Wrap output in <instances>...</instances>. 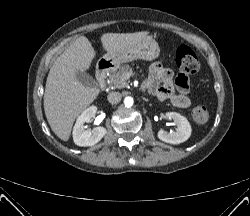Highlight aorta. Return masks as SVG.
I'll list each match as a JSON object with an SVG mask.
<instances>
[{
  "mask_svg": "<svg viewBox=\"0 0 250 216\" xmlns=\"http://www.w3.org/2000/svg\"><path fill=\"white\" fill-rule=\"evenodd\" d=\"M124 104L126 107H131L133 105V98L132 97H126L124 99Z\"/></svg>",
  "mask_w": 250,
  "mask_h": 216,
  "instance_id": "762f6f07",
  "label": "aorta"
}]
</instances>
